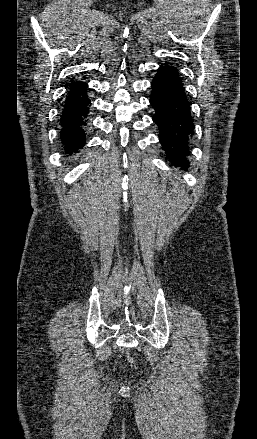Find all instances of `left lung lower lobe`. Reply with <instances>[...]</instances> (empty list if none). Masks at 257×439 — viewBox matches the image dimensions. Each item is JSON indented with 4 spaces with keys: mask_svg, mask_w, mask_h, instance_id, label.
Returning <instances> with one entry per match:
<instances>
[{
    "mask_svg": "<svg viewBox=\"0 0 257 439\" xmlns=\"http://www.w3.org/2000/svg\"><path fill=\"white\" fill-rule=\"evenodd\" d=\"M150 104L155 109L153 121L167 157L175 165L189 166V140L194 122L183 83L174 66L161 65L152 83Z\"/></svg>",
    "mask_w": 257,
    "mask_h": 439,
    "instance_id": "obj_1",
    "label": "left lung lower lobe"
}]
</instances>
